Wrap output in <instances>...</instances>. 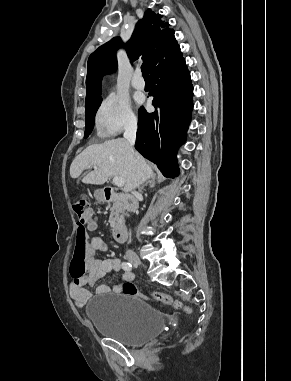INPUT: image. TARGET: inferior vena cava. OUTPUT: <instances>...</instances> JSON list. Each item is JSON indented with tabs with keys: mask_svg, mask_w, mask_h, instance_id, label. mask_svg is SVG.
<instances>
[{
	"mask_svg": "<svg viewBox=\"0 0 291 381\" xmlns=\"http://www.w3.org/2000/svg\"><path fill=\"white\" fill-rule=\"evenodd\" d=\"M136 132H137V123L136 122L129 123L125 129L124 138L129 142L131 146L135 144ZM128 252L131 253V251H128Z\"/></svg>",
	"mask_w": 291,
	"mask_h": 381,
	"instance_id": "602c4592",
	"label": "inferior vena cava"
}]
</instances>
